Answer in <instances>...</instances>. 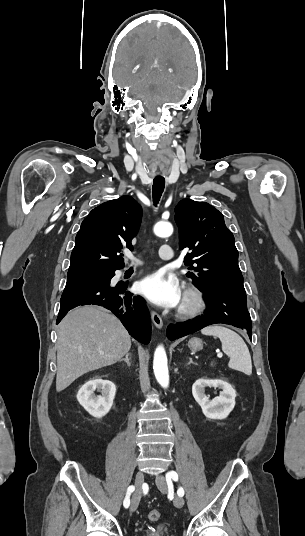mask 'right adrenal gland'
Wrapping results in <instances>:
<instances>
[{"label":"right adrenal gland","mask_w":305,"mask_h":536,"mask_svg":"<svg viewBox=\"0 0 305 536\" xmlns=\"http://www.w3.org/2000/svg\"><path fill=\"white\" fill-rule=\"evenodd\" d=\"M129 356L130 354H126L125 358H123V360H119V362H126L127 366H131L129 362Z\"/></svg>","instance_id":"obj_1"}]
</instances>
